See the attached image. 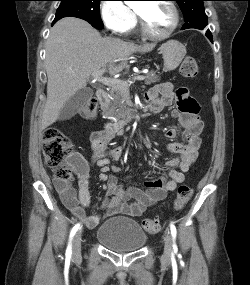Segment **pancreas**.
Here are the masks:
<instances>
[{
    "instance_id": "1",
    "label": "pancreas",
    "mask_w": 250,
    "mask_h": 285,
    "mask_svg": "<svg viewBox=\"0 0 250 285\" xmlns=\"http://www.w3.org/2000/svg\"><path fill=\"white\" fill-rule=\"evenodd\" d=\"M146 85H150L160 81V77L153 71L148 72L144 76ZM126 89L122 87H111L109 98L101 106L104 114L108 117L121 119L130 113L129 108L125 104Z\"/></svg>"
}]
</instances>
